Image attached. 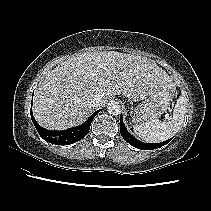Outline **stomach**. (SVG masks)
<instances>
[{
    "mask_svg": "<svg viewBox=\"0 0 211 211\" xmlns=\"http://www.w3.org/2000/svg\"><path fill=\"white\" fill-rule=\"evenodd\" d=\"M174 94L175 86L172 83L146 95L138 94L130 96L129 98L133 101L144 100L136 107H131V111L134 113V121L143 123L159 118L169 108Z\"/></svg>",
    "mask_w": 211,
    "mask_h": 211,
    "instance_id": "obj_1",
    "label": "stomach"
}]
</instances>
